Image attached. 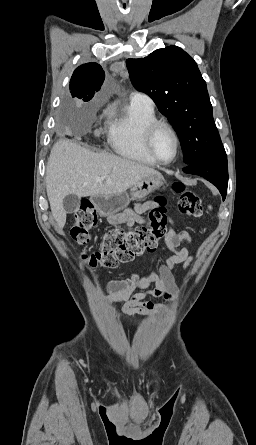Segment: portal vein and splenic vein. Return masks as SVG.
I'll use <instances>...</instances> for the list:
<instances>
[{
	"label": "portal vein and splenic vein",
	"instance_id": "1",
	"mask_svg": "<svg viewBox=\"0 0 256 445\" xmlns=\"http://www.w3.org/2000/svg\"><path fill=\"white\" fill-rule=\"evenodd\" d=\"M95 181L101 183V182H103V178L97 177V178H95Z\"/></svg>",
	"mask_w": 256,
	"mask_h": 445
}]
</instances>
